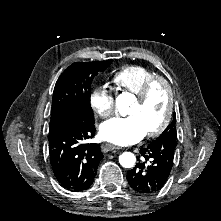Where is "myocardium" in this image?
Masks as SVG:
<instances>
[{
  "mask_svg": "<svg viewBox=\"0 0 221 221\" xmlns=\"http://www.w3.org/2000/svg\"><path fill=\"white\" fill-rule=\"evenodd\" d=\"M157 85H163L166 88L167 100H168L167 112H166V115H165L164 119L162 120V122L155 129H153L145 134V136L149 137V138L156 137V136L160 135L162 132H164V130L168 127V125L171 122L173 110H174V93H173L172 85L170 84V82L167 79H165L161 76L151 78L144 84L141 91L135 97L136 102L139 105L144 104L147 101L151 91Z\"/></svg>",
  "mask_w": 221,
  "mask_h": 221,
  "instance_id": "1",
  "label": "myocardium"
}]
</instances>
